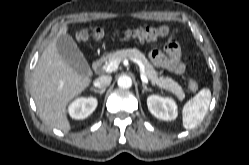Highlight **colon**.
Segmentation results:
<instances>
[{
  "mask_svg": "<svg viewBox=\"0 0 249 165\" xmlns=\"http://www.w3.org/2000/svg\"><path fill=\"white\" fill-rule=\"evenodd\" d=\"M176 30H170L167 26L159 27H142L137 29H128L124 33H116V36H124L128 40L136 41H148L154 40L160 37H165L169 34L175 35ZM107 33L102 29H95L91 32L80 31L77 34V39L81 42H86L91 39L100 40L103 39ZM189 89L195 92L198 89L196 80H189Z\"/></svg>",
  "mask_w": 249,
  "mask_h": 165,
  "instance_id": "colon-1",
  "label": "colon"
}]
</instances>
